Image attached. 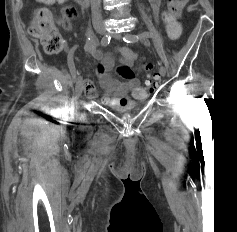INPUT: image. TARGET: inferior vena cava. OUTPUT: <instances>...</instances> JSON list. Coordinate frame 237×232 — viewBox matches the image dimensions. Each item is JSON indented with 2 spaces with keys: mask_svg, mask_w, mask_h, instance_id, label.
Wrapping results in <instances>:
<instances>
[{
  "mask_svg": "<svg viewBox=\"0 0 237 232\" xmlns=\"http://www.w3.org/2000/svg\"><path fill=\"white\" fill-rule=\"evenodd\" d=\"M91 9H92V19L93 21H99L102 19L101 10H100V1L101 0H90Z\"/></svg>",
  "mask_w": 237,
  "mask_h": 232,
  "instance_id": "602c4592",
  "label": "inferior vena cava"
}]
</instances>
